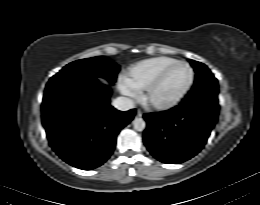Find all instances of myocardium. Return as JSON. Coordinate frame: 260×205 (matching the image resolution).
Returning <instances> with one entry per match:
<instances>
[{
	"mask_svg": "<svg viewBox=\"0 0 260 205\" xmlns=\"http://www.w3.org/2000/svg\"><path fill=\"white\" fill-rule=\"evenodd\" d=\"M176 65H185L189 70H190V81L188 83V85L186 86V88L174 99L167 101V102H155L153 100H151L150 98V94L152 92V90L162 81V79L164 78V76L166 75V73L173 68ZM195 82V71L193 69V67L186 61L183 60H177L171 64H169L168 66H166L165 68H163L148 84L147 86L144 88V92L141 96L142 101L155 108L158 110H169L172 109L174 107H176L177 105H179L184 99L185 97L188 95V93L191 91L193 85Z\"/></svg>",
	"mask_w": 260,
	"mask_h": 205,
	"instance_id": "obj_1",
	"label": "myocardium"
}]
</instances>
